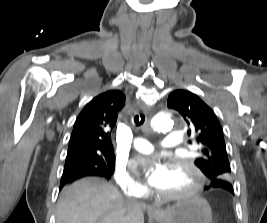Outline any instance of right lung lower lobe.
Segmentation results:
<instances>
[{"mask_svg":"<svg viewBox=\"0 0 267 223\" xmlns=\"http://www.w3.org/2000/svg\"><path fill=\"white\" fill-rule=\"evenodd\" d=\"M86 176H100L97 174H88L84 171L76 170V171H70V172H64L62 175L61 183H60V189L67 183L74 181L76 179L86 177Z\"/></svg>","mask_w":267,"mask_h":223,"instance_id":"98d812e1","label":"right lung lower lobe"}]
</instances>
